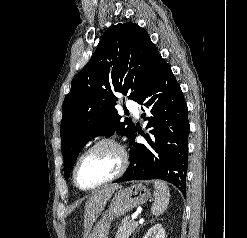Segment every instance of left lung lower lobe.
Wrapping results in <instances>:
<instances>
[{
	"label": "left lung lower lobe",
	"instance_id": "obj_1",
	"mask_svg": "<svg viewBox=\"0 0 247 238\" xmlns=\"http://www.w3.org/2000/svg\"><path fill=\"white\" fill-rule=\"evenodd\" d=\"M137 103L150 110L149 116L142 115L150 134L143 135L146 144H138L134 129L129 139L130 165L117 183L162 179L183 192L188 167V109L180 85L164 60Z\"/></svg>",
	"mask_w": 247,
	"mask_h": 238
}]
</instances>
